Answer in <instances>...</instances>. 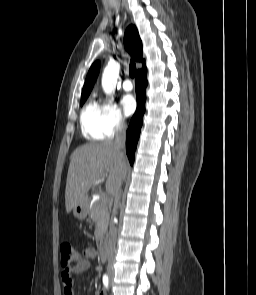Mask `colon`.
Segmentation results:
<instances>
[{
  "label": "colon",
  "instance_id": "1",
  "mask_svg": "<svg viewBox=\"0 0 256 295\" xmlns=\"http://www.w3.org/2000/svg\"><path fill=\"white\" fill-rule=\"evenodd\" d=\"M60 253L61 266L66 270L74 269L80 260V256L74 247L68 243L62 244Z\"/></svg>",
  "mask_w": 256,
  "mask_h": 295
}]
</instances>
